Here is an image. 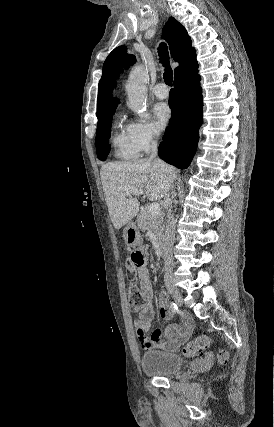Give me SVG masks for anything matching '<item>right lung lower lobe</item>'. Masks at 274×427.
Returning <instances> with one entry per match:
<instances>
[{"label": "right lung lower lobe", "instance_id": "1", "mask_svg": "<svg viewBox=\"0 0 274 427\" xmlns=\"http://www.w3.org/2000/svg\"><path fill=\"white\" fill-rule=\"evenodd\" d=\"M201 93L198 63L175 76L174 89L169 96L172 116L158 155L180 169L188 167L196 150L202 123Z\"/></svg>", "mask_w": 274, "mask_h": 427}]
</instances>
